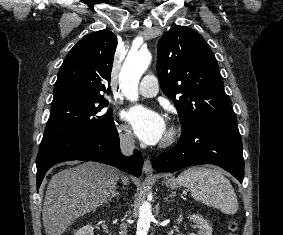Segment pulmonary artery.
<instances>
[{"label":"pulmonary artery","mask_w":283,"mask_h":235,"mask_svg":"<svg viewBox=\"0 0 283 235\" xmlns=\"http://www.w3.org/2000/svg\"><path fill=\"white\" fill-rule=\"evenodd\" d=\"M139 93L144 97H153L158 93L157 79L154 75H146L140 82Z\"/></svg>","instance_id":"1"}]
</instances>
